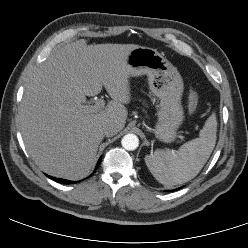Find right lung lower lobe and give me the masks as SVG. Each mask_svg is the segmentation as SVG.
Wrapping results in <instances>:
<instances>
[{
  "mask_svg": "<svg viewBox=\"0 0 248 248\" xmlns=\"http://www.w3.org/2000/svg\"><path fill=\"white\" fill-rule=\"evenodd\" d=\"M101 162V158L98 160L97 165H96V169L99 166ZM50 179L54 180L55 182L61 183V184H71V183H76L74 181H69V180H65V179H60V178H55L52 176L47 175Z\"/></svg>",
  "mask_w": 248,
  "mask_h": 248,
  "instance_id": "1",
  "label": "right lung lower lobe"
}]
</instances>
